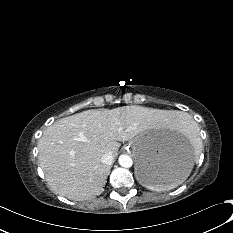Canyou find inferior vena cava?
<instances>
[{"mask_svg": "<svg viewBox=\"0 0 233 233\" xmlns=\"http://www.w3.org/2000/svg\"><path fill=\"white\" fill-rule=\"evenodd\" d=\"M101 161L105 165H111L113 163V155L110 152L105 153L101 157Z\"/></svg>", "mask_w": 233, "mask_h": 233, "instance_id": "inferior-vena-cava-1", "label": "inferior vena cava"}]
</instances>
